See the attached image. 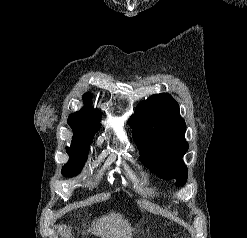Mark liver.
Here are the masks:
<instances>
[{
  "label": "liver",
  "instance_id": "obj_1",
  "mask_svg": "<svg viewBox=\"0 0 247 238\" xmlns=\"http://www.w3.org/2000/svg\"><path fill=\"white\" fill-rule=\"evenodd\" d=\"M133 229L128 221L116 213L100 218L93 222L91 232L101 238H132Z\"/></svg>",
  "mask_w": 247,
  "mask_h": 238
}]
</instances>
